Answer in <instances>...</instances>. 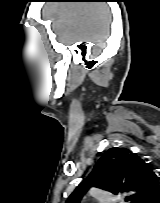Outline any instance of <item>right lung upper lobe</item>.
Wrapping results in <instances>:
<instances>
[{
    "label": "right lung upper lobe",
    "instance_id": "obj_1",
    "mask_svg": "<svg viewBox=\"0 0 160 203\" xmlns=\"http://www.w3.org/2000/svg\"><path fill=\"white\" fill-rule=\"evenodd\" d=\"M92 186L113 194H130L131 203H148L160 193V177L136 153L114 147L103 154L89 177L77 186L66 203H80Z\"/></svg>",
    "mask_w": 160,
    "mask_h": 203
}]
</instances>
